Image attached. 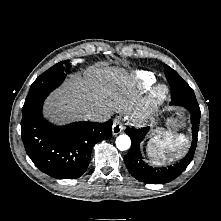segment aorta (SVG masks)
Listing matches in <instances>:
<instances>
[{
  "label": "aorta",
  "instance_id": "1",
  "mask_svg": "<svg viewBox=\"0 0 221 221\" xmlns=\"http://www.w3.org/2000/svg\"><path fill=\"white\" fill-rule=\"evenodd\" d=\"M130 146H131V140L128 135L122 134L116 138V147L119 150L121 151L128 150Z\"/></svg>",
  "mask_w": 221,
  "mask_h": 221
}]
</instances>
